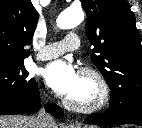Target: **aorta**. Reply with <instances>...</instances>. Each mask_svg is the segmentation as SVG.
I'll use <instances>...</instances> for the list:
<instances>
[{"instance_id":"aorta-1","label":"aorta","mask_w":142,"mask_h":128,"mask_svg":"<svg viewBox=\"0 0 142 128\" xmlns=\"http://www.w3.org/2000/svg\"><path fill=\"white\" fill-rule=\"evenodd\" d=\"M84 20L81 8H67L57 18L56 24L60 29H71L78 26Z\"/></svg>"}]
</instances>
